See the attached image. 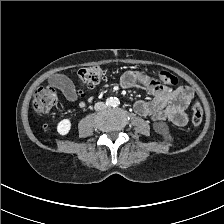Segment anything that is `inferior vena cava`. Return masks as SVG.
Instances as JSON below:
<instances>
[{
    "mask_svg": "<svg viewBox=\"0 0 224 224\" xmlns=\"http://www.w3.org/2000/svg\"><path fill=\"white\" fill-rule=\"evenodd\" d=\"M104 107H105V103H103V102H98L95 105L96 110H99V109L104 108Z\"/></svg>",
    "mask_w": 224,
    "mask_h": 224,
    "instance_id": "1",
    "label": "inferior vena cava"
}]
</instances>
